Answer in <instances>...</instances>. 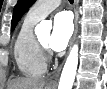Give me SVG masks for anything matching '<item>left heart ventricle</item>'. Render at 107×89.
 Instances as JSON below:
<instances>
[{
  "label": "left heart ventricle",
  "instance_id": "1",
  "mask_svg": "<svg viewBox=\"0 0 107 89\" xmlns=\"http://www.w3.org/2000/svg\"><path fill=\"white\" fill-rule=\"evenodd\" d=\"M39 39L41 40V42L45 45L48 44L49 39H50V35L49 34H44L42 36L39 37Z\"/></svg>",
  "mask_w": 107,
  "mask_h": 89
}]
</instances>
